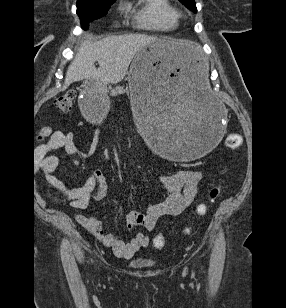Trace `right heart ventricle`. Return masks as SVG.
<instances>
[{"label": "right heart ventricle", "mask_w": 286, "mask_h": 308, "mask_svg": "<svg viewBox=\"0 0 286 308\" xmlns=\"http://www.w3.org/2000/svg\"><path fill=\"white\" fill-rule=\"evenodd\" d=\"M124 10L138 29L166 32L179 27L181 14L171 0H137Z\"/></svg>", "instance_id": "1"}]
</instances>
